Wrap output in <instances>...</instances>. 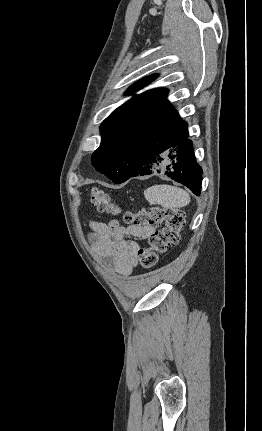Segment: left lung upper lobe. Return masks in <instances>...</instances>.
<instances>
[{
	"label": "left lung upper lobe",
	"instance_id": "left-lung-upper-lobe-1",
	"mask_svg": "<svg viewBox=\"0 0 262 431\" xmlns=\"http://www.w3.org/2000/svg\"><path fill=\"white\" fill-rule=\"evenodd\" d=\"M146 77L133 84L132 94L155 79ZM167 89L135 95L113 111L100 126L102 140L92 154V165L114 183H123L132 172L136 153L151 151L175 129L187 125L166 99Z\"/></svg>",
	"mask_w": 262,
	"mask_h": 431
}]
</instances>
